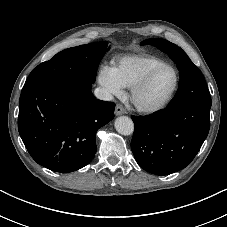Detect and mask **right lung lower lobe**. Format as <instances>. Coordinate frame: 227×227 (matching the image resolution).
<instances>
[{
	"label": "right lung lower lobe",
	"instance_id": "1",
	"mask_svg": "<svg viewBox=\"0 0 227 227\" xmlns=\"http://www.w3.org/2000/svg\"><path fill=\"white\" fill-rule=\"evenodd\" d=\"M114 108L113 102L94 97L89 82L42 84L20 96L19 134L38 164L72 172L92 160L96 132L114 118Z\"/></svg>",
	"mask_w": 227,
	"mask_h": 227
}]
</instances>
